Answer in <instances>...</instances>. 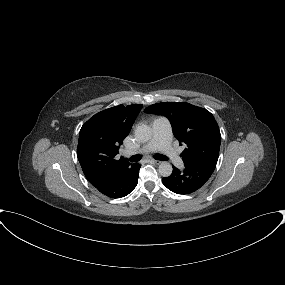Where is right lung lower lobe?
<instances>
[{
	"mask_svg": "<svg viewBox=\"0 0 285 285\" xmlns=\"http://www.w3.org/2000/svg\"><path fill=\"white\" fill-rule=\"evenodd\" d=\"M141 165L135 163L123 174L118 175L113 181L96 187L101 193L110 198H121L128 195L137 185Z\"/></svg>",
	"mask_w": 285,
	"mask_h": 285,
	"instance_id": "98d812e1",
	"label": "right lung lower lobe"
}]
</instances>
